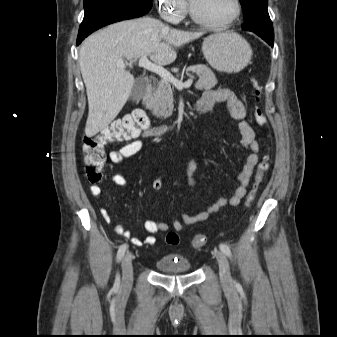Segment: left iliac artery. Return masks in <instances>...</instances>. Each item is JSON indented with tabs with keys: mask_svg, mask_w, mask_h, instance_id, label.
I'll use <instances>...</instances> for the list:
<instances>
[{
	"mask_svg": "<svg viewBox=\"0 0 337 337\" xmlns=\"http://www.w3.org/2000/svg\"><path fill=\"white\" fill-rule=\"evenodd\" d=\"M219 248L226 256L231 257V250L228 245L221 243Z\"/></svg>",
	"mask_w": 337,
	"mask_h": 337,
	"instance_id": "1",
	"label": "left iliac artery"
}]
</instances>
